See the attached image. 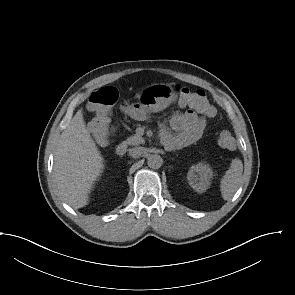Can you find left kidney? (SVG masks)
I'll return each mask as SVG.
<instances>
[{"label": "left kidney", "instance_id": "obj_1", "mask_svg": "<svg viewBox=\"0 0 295 295\" xmlns=\"http://www.w3.org/2000/svg\"><path fill=\"white\" fill-rule=\"evenodd\" d=\"M212 177V169L204 163L193 165L187 173L190 186L198 193H203L208 189Z\"/></svg>", "mask_w": 295, "mask_h": 295}]
</instances>
